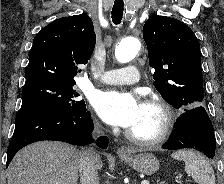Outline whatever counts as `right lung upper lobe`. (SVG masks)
<instances>
[{"mask_svg":"<svg viewBox=\"0 0 224 184\" xmlns=\"http://www.w3.org/2000/svg\"><path fill=\"white\" fill-rule=\"evenodd\" d=\"M93 23L86 14L59 18L35 36L25 73V84L34 81L75 83L95 48Z\"/></svg>","mask_w":224,"mask_h":184,"instance_id":"right-lung-upper-lobe-1","label":"right lung upper lobe"}]
</instances>
